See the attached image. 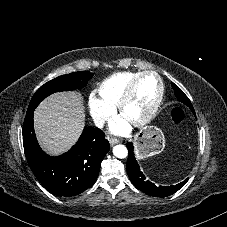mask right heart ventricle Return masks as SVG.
I'll return each mask as SVG.
<instances>
[{"label": "right heart ventricle", "instance_id": "obj_1", "mask_svg": "<svg viewBox=\"0 0 227 227\" xmlns=\"http://www.w3.org/2000/svg\"><path fill=\"white\" fill-rule=\"evenodd\" d=\"M138 73L139 72L123 71L107 77L95 90L98 99L112 107L116 106L130 81Z\"/></svg>", "mask_w": 227, "mask_h": 227}]
</instances>
